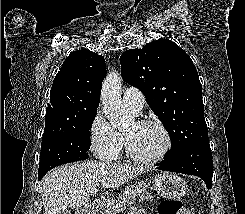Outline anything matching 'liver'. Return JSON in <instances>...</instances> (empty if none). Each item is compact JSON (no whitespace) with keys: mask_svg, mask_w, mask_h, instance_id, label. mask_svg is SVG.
Masks as SVG:
<instances>
[{"mask_svg":"<svg viewBox=\"0 0 245 214\" xmlns=\"http://www.w3.org/2000/svg\"><path fill=\"white\" fill-rule=\"evenodd\" d=\"M144 171L140 167L97 161L60 166L43 179L45 214H59L68 208L85 206L89 203L91 188L101 184L105 189H115Z\"/></svg>","mask_w":245,"mask_h":214,"instance_id":"1","label":"liver"}]
</instances>
